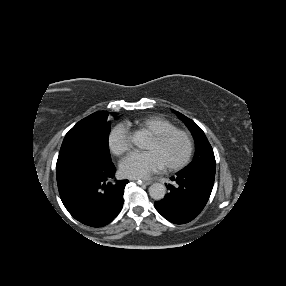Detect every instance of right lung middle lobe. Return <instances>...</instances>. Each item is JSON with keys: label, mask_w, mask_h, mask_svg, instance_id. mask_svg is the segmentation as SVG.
I'll return each mask as SVG.
<instances>
[{"label": "right lung middle lobe", "mask_w": 286, "mask_h": 286, "mask_svg": "<svg viewBox=\"0 0 286 286\" xmlns=\"http://www.w3.org/2000/svg\"><path fill=\"white\" fill-rule=\"evenodd\" d=\"M109 113L100 111L79 121L65 136L57 167L73 161L93 160L100 163L111 161L108 138L111 123ZM113 116L116 113H112Z\"/></svg>", "instance_id": "right-lung-middle-lobe-1"}]
</instances>
